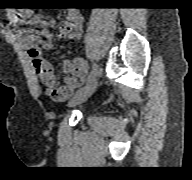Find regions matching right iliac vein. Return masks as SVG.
Returning <instances> with one entry per match:
<instances>
[{"instance_id":"right-iliac-vein-1","label":"right iliac vein","mask_w":192,"mask_h":180,"mask_svg":"<svg viewBox=\"0 0 192 180\" xmlns=\"http://www.w3.org/2000/svg\"><path fill=\"white\" fill-rule=\"evenodd\" d=\"M97 75V74H96ZM95 77L89 81L83 88L78 90L74 97L69 101L68 105L70 107L81 104L85 100H87L95 91L97 87V77Z\"/></svg>"}]
</instances>
